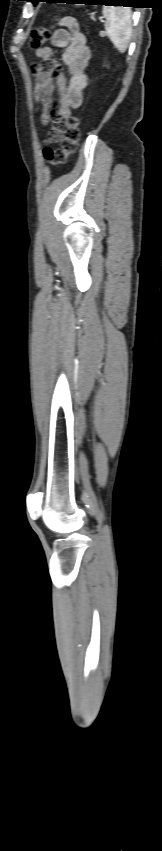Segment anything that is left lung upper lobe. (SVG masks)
I'll return each mask as SVG.
<instances>
[{"instance_id": "1", "label": "left lung upper lobe", "mask_w": 162, "mask_h": 851, "mask_svg": "<svg viewBox=\"0 0 162 851\" xmlns=\"http://www.w3.org/2000/svg\"><path fill=\"white\" fill-rule=\"evenodd\" d=\"M29 1H32L34 4L37 2V0H29Z\"/></svg>"}]
</instances>
